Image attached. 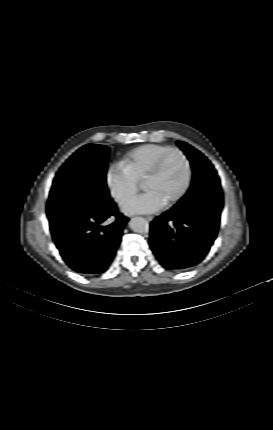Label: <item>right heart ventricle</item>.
<instances>
[{"mask_svg":"<svg viewBox=\"0 0 273 430\" xmlns=\"http://www.w3.org/2000/svg\"><path fill=\"white\" fill-rule=\"evenodd\" d=\"M171 146L163 144H144L130 152L122 159V164L140 182L143 181L159 157Z\"/></svg>","mask_w":273,"mask_h":430,"instance_id":"e07e8e85","label":"right heart ventricle"}]
</instances>
